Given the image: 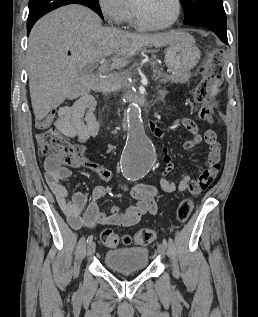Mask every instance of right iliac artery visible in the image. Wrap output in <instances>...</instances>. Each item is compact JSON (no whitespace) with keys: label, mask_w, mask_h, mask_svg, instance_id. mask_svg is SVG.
<instances>
[{"label":"right iliac artery","mask_w":258,"mask_h":317,"mask_svg":"<svg viewBox=\"0 0 258 317\" xmlns=\"http://www.w3.org/2000/svg\"><path fill=\"white\" fill-rule=\"evenodd\" d=\"M133 178H129V180H132ZM93 240V235H90L88 238H87V243H91Z\"/></svg>","instance_id":"1"}]
</instances>
